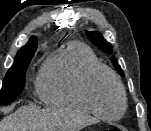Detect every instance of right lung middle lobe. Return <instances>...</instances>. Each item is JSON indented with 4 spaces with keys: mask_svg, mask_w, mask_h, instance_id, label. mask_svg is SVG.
I'll return each instance as SVG.
<instances>
[{
    "mask_svg": "<svg viewBox=\"0 0 151 131\" xmlns=\"http://www.w3.org/2000/svg\"><path fill=\"white\" fill-rule=\"evenodd\" d=\"M37 45L22 47L18 51L13 65L4 77L0 92V105L15 100L22 92L25 85V74L36 52Z\"/></svg>",
    "mask_w": 151,
    "mask_h": 131,
    "instance_id": "1",
    "label": "right lung middle lobe"
}]
</instances>
